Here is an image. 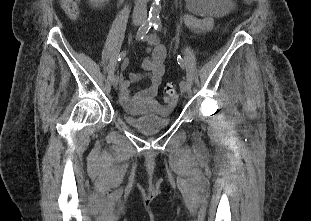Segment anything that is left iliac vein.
I'll return each instance as SVG.
<instances>
[{"mask_svg":"<svg viewBox=\"0 0 311 221\" xmlns=\"http://www.w3.org/2000/svg\"><path fill=\"white\" fill-rule=\"evenodd\" d=\"M188 88H189V86H188V83L186 81L183 80L180 82V89H181L182 93H186L188 91Z\"/></svg>","mask_w":311,"mask_h":221,"instance_id":"1","label":"left iliac vein"}]
</instances>
